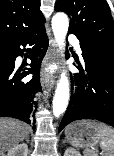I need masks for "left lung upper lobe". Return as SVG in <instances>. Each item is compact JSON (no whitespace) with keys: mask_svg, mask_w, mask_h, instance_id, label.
<instances>
[{"mask_svg":"<svg viewBox=\"0 0 114 156\" xmlns=\"http://www.w3.org/2000/svg\"><path fill=\"white\" fill-rule=\"evenodd\" d=\"M56 11L70 17L69 33L114 59V21L106 0H57Z\"/></svg>","mask_w":114,"mask_h":156,"instance_id":"left-lung-upper-lobe-1","label":"left lung upper lobe"}]
</instances>
